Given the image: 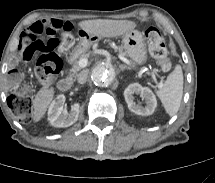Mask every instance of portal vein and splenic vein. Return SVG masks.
Instances as JSON below:
<instances>
[{"label":"portal vein and splenic vein","mask_w":215,"mask_h":183,"mask_svg":"<svg viewBox=\"0 0 215 183\" xmlns=\"http://www.w3.org/2000/svg\"><path fill=\"white\" fill-rule=\"evenodd\" d=\"M119 58H120L122 61L128 63V60H127L126 58H124L123 56L119 55ZM87 64H88V59H87V58H82V59L79 60V66H80L81 68L86 67ZM152 76L155 77L154 74H152Z\"/></svg>","instance_id":"portal-vein-and-splenic-vein-1"}]
</instances>
